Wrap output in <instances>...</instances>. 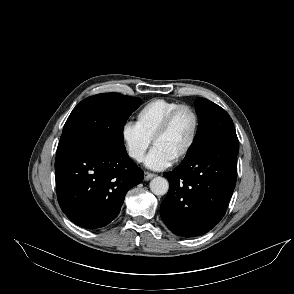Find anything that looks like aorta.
<instances>
[{
	"label": "aorta",
	"instance_id": "762f6f07",
	"mask_svg": "<svg viewBox=\"0 0 294 294\" xmlns=\"http://www.w3.org/2000/svg\"><path fill=\"white\" fill-rule=\"evenodd\" d=\"M150 190L155 195H164L168 192L169 189V183L168 181L163 177H155L150 182Z\"/></svg>",
	"mask_w": 294,
	"mask_h": 294
}]
</instances>
